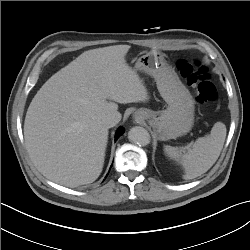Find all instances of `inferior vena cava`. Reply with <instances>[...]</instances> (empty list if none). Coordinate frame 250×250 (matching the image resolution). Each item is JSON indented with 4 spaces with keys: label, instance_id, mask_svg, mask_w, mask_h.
<instances>
[{
    "label": "inferior vena cava",
    "instance_id": "obj_1",
    "mask_svg": "<svg viewBox=\"0 0 250 250\" xmlns=\"http://www.w3.org/2000/svg\"><path fill=\"white\" fill-rule=\"evenodd\" d=\"M121 120V114L119 112H114L106 115L102 119V123L105 127H114Z\"/></svg>",
    "mask_w": 250,
    "mask_h": 250
}]
</instances>
